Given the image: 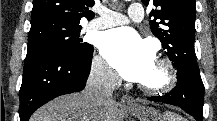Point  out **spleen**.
I'll use <instances>...</instances> for the list:
<instances>
[{
  "label": "spleen",
  "instance_id": "1",
  "mask_svg": "<svg viewBox=\"0 0 217 121\" xmlns=\"http://www.w3.org/2000/svg\"><path fill=\"white\" fill-rule=\"evenodd\" d=\"M164 120L165 121H185V119H183V117L176 115L174 113H166L164 116Z\"/></svg>",
  "mask_w": 217,
  "mask_h": 121
}]
</instances>
